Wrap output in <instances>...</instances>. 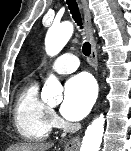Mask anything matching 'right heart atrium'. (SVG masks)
<instances>
[{
    "label": "right heart atrium",
    "mask_w": 131,
    "mask_h": 151,
    "mask_svg": "<svg viewBox=\"0 0 131 151\" xmlns=\"http://www.w3.org/2000/svg\"><path fill=\"white\" fill-rule=\"evenodd\" d=\"M51 116H52L53 122L54 123L57 122L58 118H57L56 114L53 111H51Z\"/></svg>",
    "instance_id": "d8ad5b80"
}]
</instances>
